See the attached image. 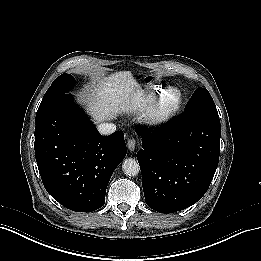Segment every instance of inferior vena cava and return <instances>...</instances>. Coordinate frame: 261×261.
<instances>
[{
	"mask_svg": "<svg viewBox=\"0 0 261 261\" xmlns=\"http://www.w3.org/2000/svg\"><path fill=\"white\" fill-rule=\"evenodd\" d=\"M97 130L101 135H111L116 131V125L113 123H101L98 125Z\"/></svg>",
	"mask_w": 261,
	"mask_h": 261,
	"instance_id": "inferior-vena-cava-1",
	"label": "inferior vena cava"
}]
</instances>
